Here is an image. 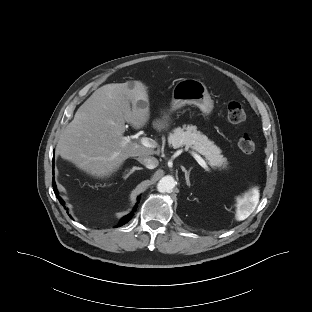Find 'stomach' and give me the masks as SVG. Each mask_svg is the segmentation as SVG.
<instances>
[{"mask_svg":"<svg viewBox=\"0 0 312 312\" xmlns=\"http://www.w3.org/2000/svg\"><path fill=\"white\" fill-rule=\"evenodd\" d=\"M186 104L197 106L205 116L213 110L211 99L205 84L196 79H182L176 83L172 91L171 111H175Z\"/></svg>","mask_w":312,"mask_h":312,"instance_id":"obj_1","label":"stomach"}]
</instances>
